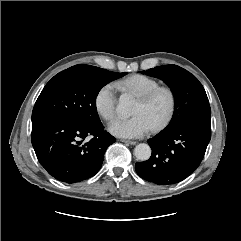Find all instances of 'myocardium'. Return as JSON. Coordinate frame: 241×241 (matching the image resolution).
I'll list each match as a JSON object with an SVG mask.
<instances>
[{
  "mask_svg": "<svg viewBox=\"0 0 241 241\" xmlns=\"http://www.w3.org/2000/svg\"><path fill=\"white\" fill-rule=\"evenodd\" d=\"M160 95H165L168 99V107L165 114L152 126V131H159L164 128L172 119L176 109V94L171 87L158 86L155 89L137 97L142 104H149Z\"/></svg>",
  "mask_w": 241,
  "mask_h": 241,
  "instance_id": "f54148a6",
  "label": "myocardium"
}]
</instances>
